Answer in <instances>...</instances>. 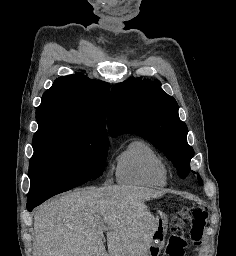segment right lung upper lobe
I'll list each match as a JSON object with an SVG mask.
<instances>
[{
  "label": "right lung upper lobe",
  "mask_w": 236,
  "mask_h": 256,
  "mask_svg": "<svg viewBox=\"0 0 236 256\" xmlns=\"http://www.w3.org/2000/svg\"><path fill=\"white\" fill-rule=\"evenodd\" d=\"M110 85L77 73L56 79L36 109L39 128L67 126L105 135V107Z\"/></svg>",
  "instance_id": "obj_1"
}]
</instances>
